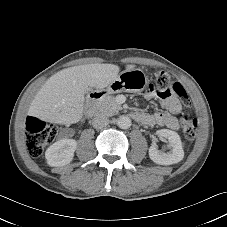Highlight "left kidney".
I'll list each match as a JSON object with an SVG mask.
<instances>
[{
    "label": "left kidney",
    "instance_id": "obj_1",
    "mask_svg": "<svg viewBox=\"0 0 227 227\" xmlns=\"http://www.w3.org/2000/svg\"><path fill=\"white\" fill-rule=\"evenodd\" d=\"M156 134L168 140L170 152L160 151L155 144H152L149 148L150 159L159 165H171L180 162L184 158L180 136L175 131L168 129L158 130Z\"/></svg>",
    "mask_w": 227,
    "mask_h": 227
}]
</instances>
